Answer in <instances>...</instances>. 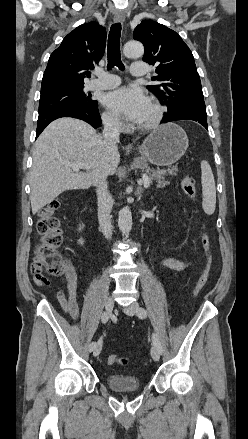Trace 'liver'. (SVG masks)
<instances>
[{
	"instance_id": "liver-1",
	"label": "liver",
	"mask_w": 248,
	"mask_h": 439,
	"mask_svg": "<svg viewBox=\"0 0 248 439\" xmlns=\"http://www.w3.org/2000/svg\"><path fill=\"white\" fill-rule=\"evenodd\" d=\"M66 162L88 165L86 172ZM120 163L118 145L108 144L88 123L60 118L50 123L33 147L29 175L32 213L36 214L67 190L88 189L104 175H112Z\"/></svg>"
}]
</instances>
